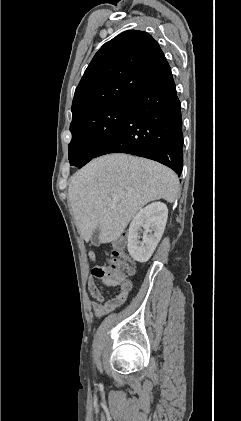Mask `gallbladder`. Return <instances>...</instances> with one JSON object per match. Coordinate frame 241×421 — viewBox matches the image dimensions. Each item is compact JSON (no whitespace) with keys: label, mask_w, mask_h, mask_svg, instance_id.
Returning <instances> with one entry per match:
<instances>
[{"label":"gallbladder","mask_w":241,"mask_h":421,"mask_svg":"<svg viewBox=\"0 0 241 421\" xmlns=\"http://www.w3.org/2000/svg\"><path fill=\"white\" fill-rule=\"evenodd\" d=\"M99 235H100V228L96 227V229L94 230L92 237L90 239L91 243L95 246H99L100 241H99Z\"/></svg>","instance_id":"bac80fb5"}]
</instances>
